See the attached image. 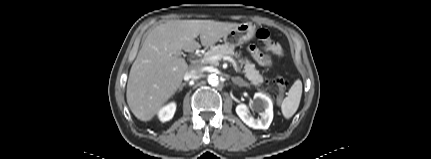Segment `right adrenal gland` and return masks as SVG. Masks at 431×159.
Returning <instances> with one entry per match:
<instances>
[{
    "instance_id": "right-adrenal-gland-1",
    "label": "right adrenal gland",
    "mask_w": 431,
    "mask_h": 159,
    "mask_svg": "<svg viewBox=\"0 0 431 159\" xmlns=\"http://www.w3.org/2000/svg\"><path fill=\"white\" fill-rule=\"evenodd\" d=\"M185 85H186L185 83L181 84L179 87V91H181Z\"/></svg>"
}]
</instances>
